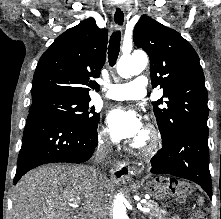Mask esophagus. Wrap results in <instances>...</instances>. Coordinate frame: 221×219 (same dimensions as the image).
<instances>
[{
	"instance_id": "esophagus-1",
	"label": "esophagus",
	"mask_w": 221,
	"mask_h": 219,
	"mask_svg": "<svg viewBox=\"0 0 221 219\" xmlns=\"http://www.w3.org/2000/svg\"><path fill=\"white\" fill-rule=\"evenodd\" d=\"M112 20L116 30H123L126 20V14L122 6L117 5L114 8Z\"/></svg>"
}]
</instances>
